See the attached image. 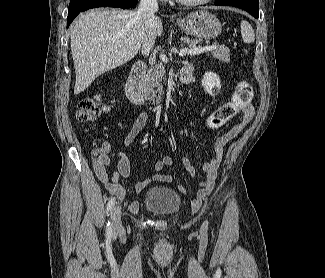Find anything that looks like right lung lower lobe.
<instances>
[{"mask_svg": "<svg viewBox=\"0 0 325 278\" xmlns=\"http://www.w3.org/2000/svg\"><path fill=\"white\" fill-rule=\"evenodd\" d=\"M138 0H70L68 17H67V28L74 18L85 10L110 6V7H120V8H130L133 7Z\"/></svg>", "mask_w": 325, "mask_h": 278, "instance_id": "right-lung-lower-lobe-1", "label": "right lung lower lobe"}]
</instances>
